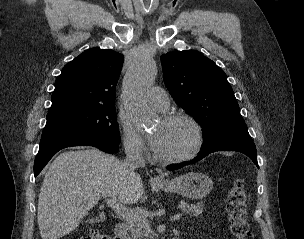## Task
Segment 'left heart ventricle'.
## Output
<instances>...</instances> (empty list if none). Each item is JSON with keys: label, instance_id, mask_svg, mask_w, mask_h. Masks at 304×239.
<instances>
[{"label": "left heart ventricle", "instance_id": "left-heart-ventricle-1", "mask_svg": "<svg viewBox=\"0 0 304 239\" xmlns=\"http://www.w3.org/2000/svg\"><path fill=\"white\" fill-rule=\"evenodd\" d=\"M159 135L160 143L156 153L164 156H176L185 153L194 142V132L183 121L165 122L162 120L153 130Z\"/></svg>", "mask_w": 304, "mask_h": 239}]
</instances>
